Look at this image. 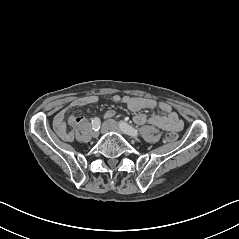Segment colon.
Instances as JSON below:
<instances>
[{
  "mask_svg": "<svg viewBox=\"0 0 239 239\" xmlns=\"http://www.w3.org/2000/svg\"><path fill=\"white\" fill-rule=\"evenodd\" d=\"M177 139V134L174 132L168 133L164 136V142H174Z\"/></svg>",
  "mask_w": 239,
  "mask_h": 239,
  "instance_id": "1",
  "label": "colon"
}]
</instances>
